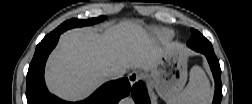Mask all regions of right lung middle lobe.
Instances as JSON below:
<instances>
[{
	"label": "right lung middle lobe",
	"instance_id": "1",
	"mask_svg": "<svg viewBox=\"0 0 252 104\" xmlns=\"http://www.w3.org/2000/svg\"><path fill=\"white\" fill-rule=\"evenodd\" d=\"M105 19L104 16H100L97 18L87 19V20H80V19H70L66 22L62 23L58 28H56L53 32L45 36V38H49L57 33H63L67 29L74 28V27H80V26H86V25H92L96 24L98 22H101Z\"/></svg>",
	"mask_w": 252,
	"mask_h": 104
}]
</instances>
